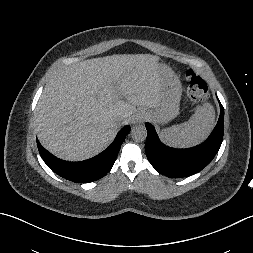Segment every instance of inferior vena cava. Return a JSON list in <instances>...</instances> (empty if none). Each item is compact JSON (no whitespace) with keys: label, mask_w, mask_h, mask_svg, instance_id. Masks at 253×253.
<instances>
[{"label":"inferior vena cava","mask_w":253,"mask_h":253,"mask_svg":"<svg viewBox=\"0 0 253 253\" xmlns=\"http://www.w3.org/2000/svg\"><path fill=\"white\" fill-rule=\"evenodd\" d=\"M127 118L126 117H123V116H121V117H116L115 119H114V129L115 130H122L123 129V127L124 126H126L127 125Z\"/></svg>","instance_id":"602c4592"}]
</instances>
